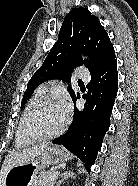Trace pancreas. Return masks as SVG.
<instances>
[{"mask_svg": "<svg viewBox=\"0 0 138 186\" xmlns=\"http://www.w3.org/2000/svg\"><path fill=\"white\" fill-rule=\"evenodd\" d=\"M54 171L42 172L35 177L32 186H54L55 179L50 180L49 177Z\"/></svg>", "mask_w": 138, "mask_h": 186, "instance_id": "obj_1", "label": "pancreas"}]
</instances>
